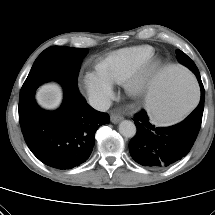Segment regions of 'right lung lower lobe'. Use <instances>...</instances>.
<instances>
[{"mask_svg":"<svg viewBox=\"0 0 215 215\" xmlns=\"http://www.w3.org/2000/svg\"><path fill=\"white\" fill-rule=\"evenodd\" d=\"M64 91V101L58 110L45 111L35 104L20 125L31 152L44 164L65 170L89 158L95 132L110 119L108 114L87 104L77 83L64 86Z\"/></svg>","mask_w":215,"mask_h":215,"instance_id":"98d812e1","label":"right lung lower lobe"}]
</instances>
